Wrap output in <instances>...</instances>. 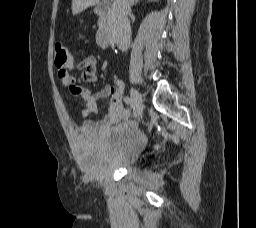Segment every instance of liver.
<instances>
[{
  "mask_svg": "<svg viewBox=\"0 0 256 228\" xmlns=\"http://www.w3.org/2000/svg\"><path fill=\"white\" fill-rule=\"evenodd\" d=\"M99 3V0H72V14L76 15L90 6Z\"/></svg>",
  "mask_w": 256,
  "mask_h": 228,
  "instance_id": "obj_1",
  "label": "liver"
}]
</instances>
